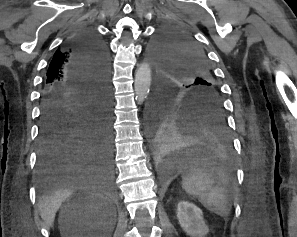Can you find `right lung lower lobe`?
Instances as JSON below:
<instances>
[{"mask_svg":"<svg viewBox=\"0 0 297 237\" xmlns=\"http://www.w3.org/2000/svg\"><path fill=\"white\" fill-rule=\"evenodd\" d=\"M73 82L45 88L38 171L45 177L112 170L109 58L104 40L84 29L67 41Z\"/></svg>","mask_w":297,"mask_h":237,"instance_id":"obj_1","label":"right lung lower lobe"}]
</instances>
